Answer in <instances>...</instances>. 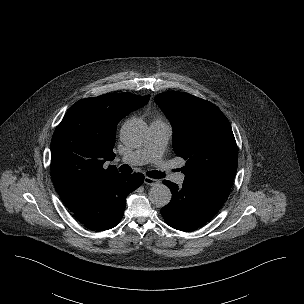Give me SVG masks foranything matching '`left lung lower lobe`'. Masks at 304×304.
Returning <instances> with one entry per match:
<instances>
[{"instance_id": "0a47b994", "label": "left lung lower lobe", "mask_w": 304, "mask_h": 304, "mask_svg": "<svg viewBox=\"0 0 304 304\" xmlns=\"http://www.w3.org/2000/svg\"><path fill=\"white\" fill-rule=\"evenodd\" d=\"M163 183L172 192L170 203L161 209L165 222L178 230L191 231L208 222L225 199L183 183L181 187L168 180Z\"/></svg>"}]
</instances>
